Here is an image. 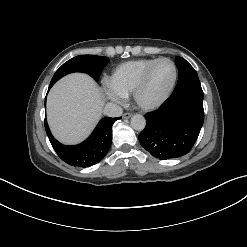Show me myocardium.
I'll return each instance as SVG.
<instances>
[{
  "label": "myocardium",
  "mask_w": 247,
  "mask_h": 247,
  "mask_svg": "<svg viewBox=\"0 0 247 247\" xmlns=\"http://www.w3.org/2000/svg\"><path fill=\"white\" fill-rule=\"evenodd\" d=\"M160 61H167L169 62L172 67H173V78L171 80V83L169 85V87L167 88V90L165 91V93L156 101H153V102H144L142 99H141V92L145 86V83L148 79V76L152 70V68ZM177 77H178V70H177V67H176V64L174 63V61H172L170 58H167V57H160V58H157L155 59L152 63H150L145 69L144 71L142 72V74L140 75L138 81L136 82L133 90H132V97H133V100L135 102V104L143 109V110H146V111H152V110H155L157 108H159L160 106H162L166 101L167 99L170 97L174 87H175V84H176V81H177Z\"/></svg>",
  "instance_id": "f54148a6"
}]
</instances>
